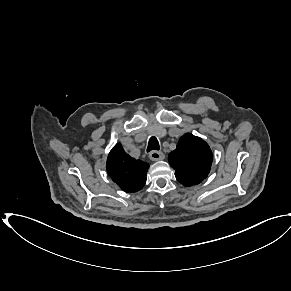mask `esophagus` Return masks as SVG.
<instances>
[{
    "mask_svg": "<svg viewBox=\"0 0 291 291\" xmlns=\"http://www.w3.org/2000/svg\"><path fill=\"white\" fill-rule=\"evenodd\" d=\"M149 158L152 160V161H158V160H163L165 158V155L164 153L160 152V151H152L150 154H149Z\"/></svg>",
    "mask_w": 291,
    "mask_h": 291,
    "instance_id": "34e87169",
    "label": "esophagus"
}]
</instances>
